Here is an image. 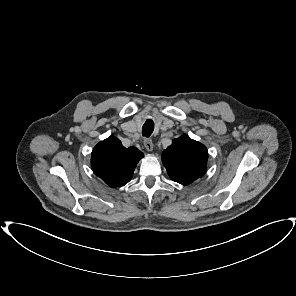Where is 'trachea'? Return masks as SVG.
Here are the masks:
<instances>
[{"label": "trachea", "instance_id": "trachea-1", "mask_svg": "<svg viewBox=\"0 0 296 296\" xmlns=\"http://www.w3.org/2000/svg\"><path fill=\"white\" fill-rule=\"evenodd\" d=\"M154 130V122L151 119H147L142 127V135L149 137Z\"/></svg>", "mask_w": 296, "mask_h": 296}]
</instances>
